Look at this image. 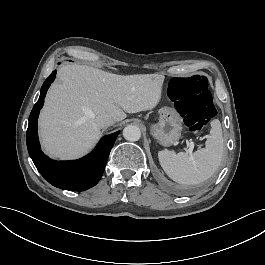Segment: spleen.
<instances>
[{
  "label": "spleen",
  "mask_w": 265,
  "mask_h": 265,
  "mask_svg": "<svg viewBox=\"0 0 265 265\" xmlns=\"http://www.w3.org/2000/svg\"><path fill=\"white\" fill-rule=\"evenodd\" d=\"M223 142L221 123L214 119L211 121L210 136L205 142V148L191 155L162 150L158 152L159 162L173 181L184 185L199 184L209 179L220 166Z\"/></svg>",
  "instance_id": "spleen-1"
}]
</instances>
